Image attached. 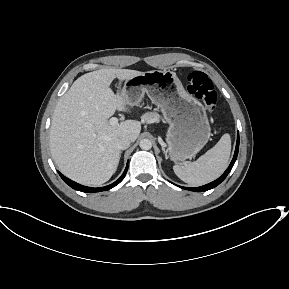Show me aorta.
Masks as SVG:
<instances>
[{"label": "aorta", "instance_id": "1", "mask_svg": "<svg viewBox=\"0 0 289 289\" xmlns=\"http://www.w3.org/2000/svg\"><path fill=\"white\" fill-rule=\"evenodd\" d=\"M139 146L143 150H149L152 148V142L149 139H142Z\"/></svg>", "mask_w": 289, "mask_h": 289}]
</instances>
